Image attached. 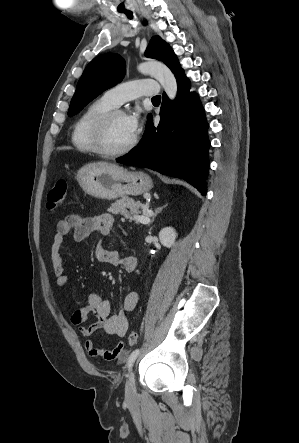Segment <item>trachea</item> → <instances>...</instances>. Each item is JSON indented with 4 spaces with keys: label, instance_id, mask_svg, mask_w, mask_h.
<instances>
[{
    "label": "trachea",
    "instance_id": "obj_1",
    "mask_svg": "<svg viewBox=\"0 0 299 443\" xmlns=\"http://www.w3.org/2000/svg\"><path fill=\"white\" fill-rule=\"evenodd\" d=\"M128 18L131 19L132 15L131 14H127ZM161 101V96L157 95L155 97L152 98V102H160Z\"/></svg>",
    "mask_w": 299,
    "mask_h": 443
}]
</instances>
